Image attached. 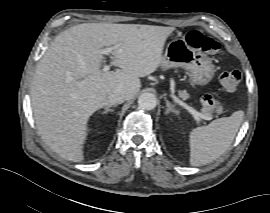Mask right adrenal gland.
Instances as JSON below:
<instances>
[{"instance_id": "obj_1", "label": "right adrenal gland", "mask_w": 270, "mask_h": 213, "mask_svg": "<svg viewBox=\"0 0 270 213\" xmlns=\"http://www.w3.org/2000/svg\"><path fill=\"white\" fill-rule=\"evenodd\" d=\"M111 105H108L105 107L104 111L102 112V114H107L108 112H113L114 110L110 108Z\"/></svg>"}]
</instances>
